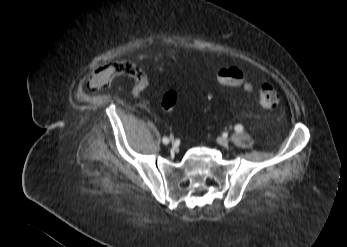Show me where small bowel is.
Instances as JSON below:
<instances>
[{
  "instance_id": "obj_1",
  "label": "small bowel",
  "mask_w": 347,
  "mask_h": 247,
  "mask_svg": "<svg viewBox=\"0 0 347 247\" xmlns=\"http://www.w3.org/2000/svg\"><path fill=\"white\" fill-rule=\"evenodd\" d=\"M118 75H127L134 81L132 93L135 96H139L148 85L144 71L135 62L125 61L108 64L97 69L88 79L87 86L93 90H98Z\"/></svg>"
}]
</instances>
